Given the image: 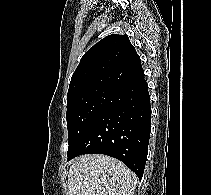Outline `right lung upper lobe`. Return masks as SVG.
<instances>
[{
	"mask_svg": "<svg viewBox=\"0 0 211 195\" xmlns=\"http://www.w3.org/2000/svg\"><path fill=\"white\" fill-rule=\"evenodd\" d=\"M144 77L141 60L127 35L106 36L81 58L67 97L90 89L114 90Z\"/></svg>",
	"mask_w": 211,
	"mask_h": 195,
	"instance_id": "cb5924a9",
	"label": "right lung upper lobe"
}]
</instances>
